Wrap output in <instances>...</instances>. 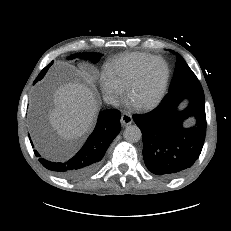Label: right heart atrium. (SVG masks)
Instances as JSON below:
<instances>
[{
	"label": "right heart atrium",
	"instance_id": "right-heart-atrium-1",
	"mask_svg": "<svg viewBox=\"0 0 231 231\" xmlns=\"http://www.w3.org/2000/svg\"><path fill=\"white\" fill-rule=\"evenodd\" d=\"M100 86L104 96L112 103H118L123 97L125 90L115 83L108 75L103 74Z\"/></svg>",
	"mask_w": 231,
	"mask_h": 231
}]
</instances>
